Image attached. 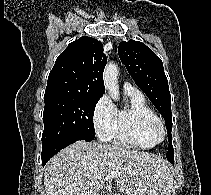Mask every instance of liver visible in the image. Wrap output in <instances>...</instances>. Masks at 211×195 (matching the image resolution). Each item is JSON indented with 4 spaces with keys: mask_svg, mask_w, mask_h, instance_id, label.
<instances>
[{
    "mask_svg": "<svg viewBox=\"0 0 211 195\" xmlns=\"http://www.w3.org/2000/svg\"><path fill=\"white\" fill-rule=\"evenodd\" d=\"M112 172L120 173L117 187L126 195H169L173 184L167 162L158 156L119 145L78 141L46 164L45 193L100 195Z\"/></svg>",
    "mask_w": 211,
    "mask_h": 195,
    "instance_id": "1",
    "label": "liver"
}]
</instances>
